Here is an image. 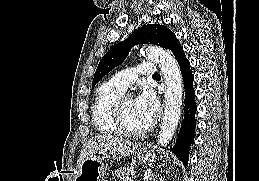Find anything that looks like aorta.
Instances as JSON below:
<instances>
[{
    "label": "aorta",
    "instance_id": "obj_1",
    "mask_svg": "<svg viewBox=\"0 0 259 181\" xmlns=\"http://www.w3.org/2000/svg\"><path fill=\"white\" fill-rule=\"evenodd\" d=\"M142 54L158 63L166 83L165 111L158 135V143L165 146L172 139L181 116L182 75L173 56L159 47L149 46Z\"/></svg>",
    "mask_w": 259,
    "mask_h": 181
}]
</instances>
